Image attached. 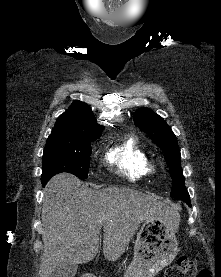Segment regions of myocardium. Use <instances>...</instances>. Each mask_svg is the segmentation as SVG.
Returning <instances> with one entry per match:
<instances>
[{
    "label": "myocardium",
    "instance_id": "myocardium-1",
    "mask_svg": "<svg viewBox=\"0 0 221 277\" xmlns=\"http://www.w3.org/2000/svg\"><path fill=\"white\" fill-rule=\"evenodd\" d=\"M148 171H149V173H156L157 168H156V166L154 164H150L149 163Z\"/></svg>",
    "mask_w": 221,
    "mask_h": 277
}]
</instances>
